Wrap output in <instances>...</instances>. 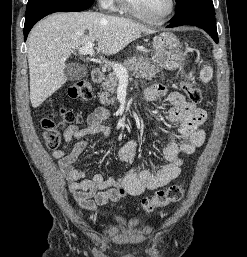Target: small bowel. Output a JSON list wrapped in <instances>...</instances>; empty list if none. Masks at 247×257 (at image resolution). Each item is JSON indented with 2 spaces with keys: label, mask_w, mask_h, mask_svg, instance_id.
I'll return each mask as SVG.
<instances>
[{
  "label": "small bowel",
  "mask_w": 247,
  "mask_h": 257,
  "mask_svg": "<svg viewBox=\"0 0 247 257\" xmlns=\"http://www.w3.org/2000/svg\"><path fill=\"white\" fill-rule=\"evenodd\" d=\"M144 99L151 102L155 99H167L171 108L165 119L178 124L177 130L167 131L168 144L162 149V156L166 162L160 169L151 171H137L131 167L118 179L105 178L101 174H89L77 167L75 162L80 154L88 147L89 142L78 141L69 149L73 140L84 137L94 138L101 134L109 137L110 129L105 126L110 112L105 108L94 110L87 119L84 127L70 125L64 130V145L52 152L58 166L68 181V188L76 202L84 209L93 211L97 206L109 202H116L125 195L138 196L146 190H154L167 185L176 179L181 172L184 158L195 152L205 142V132L200 126L206 120V111L188 102L179 92L169 91L161 84H152L145 88ZM157 131H162L160 127ZM137 151L135 140L124 143L119 151L120 161L133 164Z\"/></svg>",
  "instance_id": "c3829d8e"
}]
</instances>
